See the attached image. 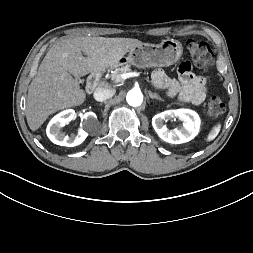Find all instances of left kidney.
Masks as SVG:
<instances>
[{"label":"left kidney","mask_w":253,"mask_h":253,"mask_svg":"<svg viewBox=\"0 0 253 253\" xmlns=\"http://www.w3.org/2000/svg\"><path fill=\"white\" fill-rule=\"evenodd\" d=\"M179 118L183 126L169 131L164 121ZM152 126L158 136L171 144H181L192 140L199 132L200 118L195 111L189 109L166 110L152 118Z\"/></svg>","instance_id":"1"}]
</instances>
